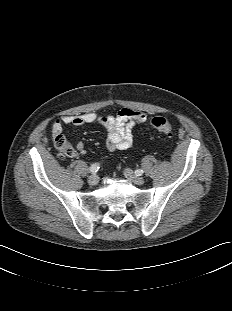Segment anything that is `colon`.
I'll use <instances>...</instances> for the list:
<instances>
[{"instance_id":"1","label":"colon","mask_w":232,"mask_h":311,"mask_svg":"<svg viewBox=\"0 0 232 311\" xmlns=\"http://www.w3.org/2000/svg\"><path fill=\"white\" fill-rule=\"evenodd\" d=\"M151 125L154 129L169 137L173 135V127L164 117H154L151 120ZM54 142L64 157H71L75 154L74 148L62 134L54 136Z\"/></svg>"}]
</instances>
